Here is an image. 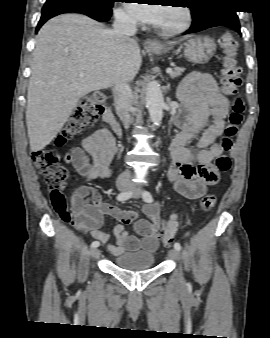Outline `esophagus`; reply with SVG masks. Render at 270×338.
I'll list each match as a JSON object with an SVG mask.
<instances>
[{
	"label": "esophagus",
	"instance_id": "obj_1",
	"mask_svg": "<svg viewBox=\"0 0 270 338\" xmlns=\"http://www.w3.org/2000/svg\"><path fill=\"white\" fill-rule=\"evenodd\" d=\"M159 43L153 39H145L144 40V46L145 47H154V46H158Z\"/></svg>",
	"mask_w": 270,
	"mask_h": 338
}]
</instances>
